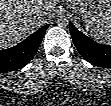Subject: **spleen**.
<instances>
[{"mask_svg":"<svg viewBox=\"0 0 111 106\" xmlns=\"http://www.w3.org/2000/svg\"><path fill=\"white\" fill-rule=\"evenodd\" d=\"M86 30L96 40L111 45V16L104 20H91L86 23Z\"/></svg>","mask_w":111,"mask_h":106,"instance_id":"3e777b00","label":"spleen"}]
</instances>
